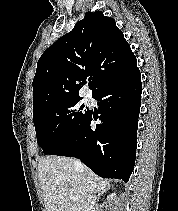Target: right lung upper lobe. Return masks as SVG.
<instances>
[{
	"instance_id": "1",
	"label": "right lung upper lobe",
	"mask_w": 178,
	"mask_h": 211,
	"mask_svg": "<svg viewBox=\"0 0 178 211\" xmlns=\"http://www.w3.org/2000/svg\"><path fill=\"white\" fill-rule=\"evenodd\" d=\"M135 68L136 57L115 20L101 11L87 12L40 57L33 79V115L51 104L80 99L87 79L93 96Z\"/></svg>"
}]
</instances>
